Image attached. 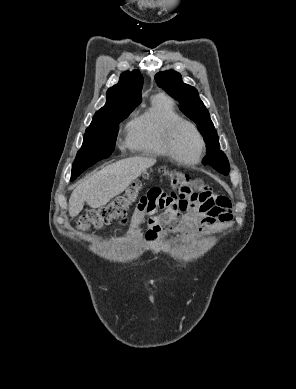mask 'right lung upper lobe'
Here are the masks:
<instances>
[{
  "label": "right lung upper lobe",
  "mask_w": 296,
  "mask_h": 389,
  "mask_svg": "<svg viewBox=\"0 0 296 389\" xmlns=\"http://www.w3.org/2000/svg\"><path fill=\"white\" fill-rule=\"evenodd\" d=\"M143 77L138 70L121 74L119 82L107 91V102L93 119L103 117L122 108L136 107L141 103Z\"/></svg>",
  "instance_id": "cb5924a9"
}]
</instances>
